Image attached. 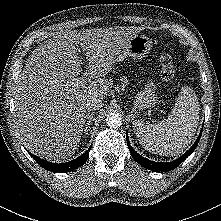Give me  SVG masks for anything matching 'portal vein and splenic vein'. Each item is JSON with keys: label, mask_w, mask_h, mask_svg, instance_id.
I'll use <instances>...</instances> for the list:
<instances>
[{"label": "portal vein and splenic vein", "mask_w": 221, "mask_h": 221, "mask_svg": "<svg viewBox=\"0 0 221 221\" xmlns=\"http://www.w3.org/2000/svg\"><path fill=\"white\" fill-rule=\"evenodd\" d=\"M75 80H76L77 85H79L80 83L83 84V83L86 82L85 77L76 78ZM74 83H75V82H72V81H66V82H65V86L68 87V86H70V85H72V84H74Z\"/></svg>", "instance_id": "portal-vein-and-splenic-vein-1"}]
</instances>
